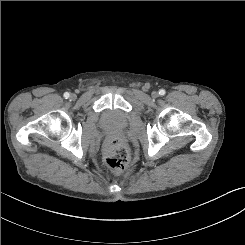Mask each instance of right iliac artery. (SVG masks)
<instances>
[{"label": "right iliac artery", "instance_id": "1", "mask_svg": "<svg viewBox=\"0 0 245 245\" xmlns=\"http://www.w3.org/2000/svg\"><path fill=\"white\" fill-rule=\"evenodd\" d=\"M69 96H70V94L68 93V92H65L64 93V97L67 99V98H69Z\"/></svg>", "mask_w": 245, "mask_h": 245}]
</instances>
